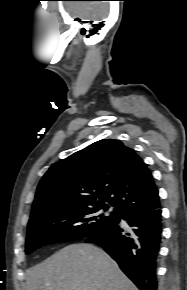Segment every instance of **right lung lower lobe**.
I'll use <instances>...</instances> for the list:
<instances>
[{
  "label": "right lung lower lobe",
  "mask_w": 187,
  "mask_h": 290,
  "mask_svg": "<svg viewBox=\"0 0 187 290\" xmlns=\"http://www.w3.org/2000/svg\"><path fill=\"white\" fill-rule=\"evenodd\" d=\"M160 205L152 208L133 209L121 213L119 220L86 238L95 243L119 264L122 271L140 290H157V258L162 235Z\"/></svg>",
  "instance_id": "obj_1"
}]
</instances>
